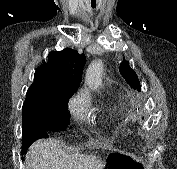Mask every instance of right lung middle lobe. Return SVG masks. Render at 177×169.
Masks as SVG:
<instances>
[{
	"label": "right lung middle lobe",
	"instance_id": "obj_1",
	"mask_svg": "<svg viewBox=\"0 0 177 169\" xmlns=\"http://www.w3.org/2000/svg\"><path fill=\"white\" fill-rule=\"evenodd\" d=\"M68 99L51 103L29 102L23 105V127L40 130H65L69 124Z\"/></svg>",
	"mask_w": 177,
	"mask_h": 169
}]
</instances>
